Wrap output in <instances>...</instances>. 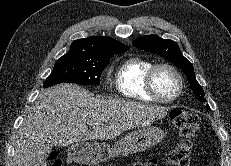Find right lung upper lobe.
I'll use <instances>...</instances> for the list:
<instances>
[{
	"instance_id": "cb5924a9",
	"label": "right lung upper lobe",
	"mask_w": 231,
	"mask_h": 166,
	"mask_svg": "<svg viewBox=\"0 0 231 166\" xmlns=\"http://www.w3.org/2000/svg\"><path fill=\"white\" fill-rule=\"evenodd\" d=\"M129 46L106 36H92L72 42L67 53L100 57L111 54L124 53Z\"/></svg>"
}]
</instances>
